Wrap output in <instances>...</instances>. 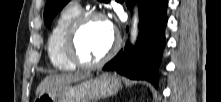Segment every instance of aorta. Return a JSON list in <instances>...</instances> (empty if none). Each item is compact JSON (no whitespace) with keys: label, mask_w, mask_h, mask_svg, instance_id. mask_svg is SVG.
<instances>
[{"label":"aorta","mask_w":221,"mask_h":102,"mask_svg":"<svg viewBox=\"0 0 221 102\" xmlns=\"http://www.w3.org/2000/svg\"><path fill=\"white\" fill-rule=\"evenodd\" d=\"M137 22H138V19H137V16H135L134 21H133V29H132V41L135 40L136 35H137Z\"/></svg>","instance_id":"762f6f07"}]
</instances>
